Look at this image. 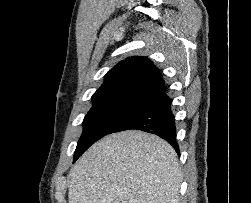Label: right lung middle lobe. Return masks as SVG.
Masks as SVG:
<instances>
[{
    "label": "right lung middle lobe",
    "instance_id": "obj_1",
    "mask_svg": "<svg viewBox=\"0 0 251 203\" xmlns=\"http://www.w3.org/2000/svg\"><path fill=\"white\" fill-rule=\"evenodd\" d=\"M140 111V108L130 106H93L83 120L84 130L75 150L74 161L94 142L112 133L120 124Z\"/></svg>",
    "mask_w": 251,
    "mask_h": 203
}]
</instances>
